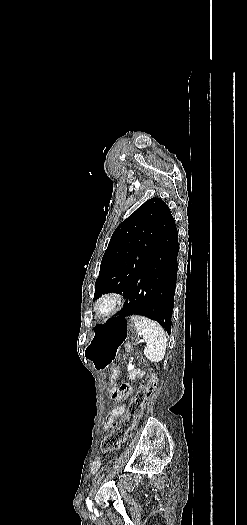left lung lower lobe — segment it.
I'll list each match as a JSON object with an SVG mask.
<instances>
[{
	"label": "left lung lower lobe",
	"instance_id": "0a47b994",
	"mask_svg": "<svg viewBox=\"0 0 247 525\" xmlns=\"http://www.w3.org/2000/svg\"><path fill=\"white\" fill-rule=\"evenodd\" d=\"M178 251V231L173 218L155 240L146 264L130 286L124 307L117 313L116 319L143 315L158 321L171 333Z\"/></svg>",
	"mask_w": 247,
	"mask_h": 525
}]
</instances>
